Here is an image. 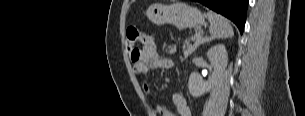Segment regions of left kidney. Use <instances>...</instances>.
<instances>
[{"label":"left kidney","instance_id":"5707ae66","mask_svg":"<svg viewBox=\"0 0 305 116\" xmlns=\"http://www.w3.org/2000/svg\"><path fill=\"white\" fill-rule=\"evenodd\" d=\"M207 57L213 66V72L209 81H204L197 72H192L188 81V89L190 94L197 98L210 92L222 77L227 64L228 54L223 44L213 46L207 52Z\"/></svg>","mask_w":305,"mask_h":116}]
</instances>
